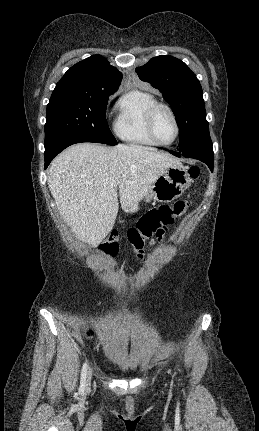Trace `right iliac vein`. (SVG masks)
Wrapping results in <instances>:
<instances>
[{"mask_svg": "<svg viewBox=\"0 0 259 431\" xmlns=\"http://www.w3.org/2000/svg\"><path fill=\"white\" fill-rule=\"evenodd\" d=\"M91 378H92V370L90 369L88 371V375H87V379H86V386H88L90 384Z\"/></svg>", "mask_w": 259, "mask_h": 431, "instance_id": "63e3f726", "label": "right iliac vein"}]
</instances>
